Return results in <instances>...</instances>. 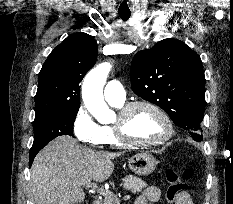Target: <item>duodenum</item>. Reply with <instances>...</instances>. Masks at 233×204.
Wrapping results in <instances>:
<instances>
[{"mask_svg": "<svg viewBox=\"0 0 233 204\" xmlns=\"http://www.w3.org/2000/svg\"><path fill=\"white\" fill-rule=\"evenodd\" d=\"M91 204H99L98 201H93Z\"/></svg>", "mask_w": 233, "mask_h": 204, "instance_id": "obj_1", "label": "duodenum"}]
</instances>
